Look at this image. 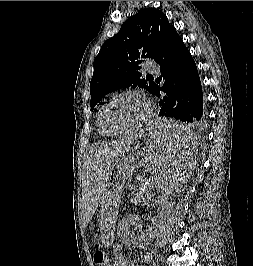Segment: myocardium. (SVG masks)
Instances as JSON below:
<instances>
[{"label":"myocardium","instance_id":"myocardium-1","mask_svg":"<svg viewBox=\"0 0 253 266\" xmlns=\"http://www.w3.org/2000/svg\"><path fill=\"white\" fill-rule=\"evenodd\" d=\"M125 95H134V96H138V97L142 98L146 104V112H145L144 116L137 123L133 124L131 127L124 129V130L116 131V132H107L102 125V121H101L102 114H103L105 108L110 103H112L113 101H115L119 97H122ZM152 110H153L152 103L145 93H143L142 91H139V90H135V89H126V90L120 91L119 93L115 94L113 97H111L107 102H105L102 105V107L100 108L98 115H97L96 125H97L99 133L103 136H106V137H114V136H119V135H123V134H128V133L142 127L150 118V116L152 114Z\"/></svg>","mask_w":253,"mask_h":266}]
</instances>
